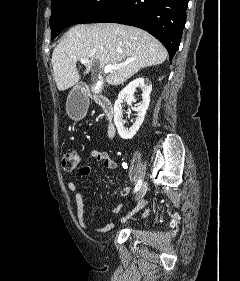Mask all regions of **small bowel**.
<instances>
[{
  "mask_svg": "<svg viewBox=\"0 0 240 281\" xmlns=\"http://www.w3.org/2000/svg\"><path fill=\"white\" fill-rule=\"evenodd\" d=\"M90 157L97 161V162H101L102 165L109 170H114L118 167V163L116 162V160H114L107 152L105 151H100L97 149H92L90 151ZM92 173V167L89 165H84L79 169V174L82 177H87ZM67 188L68 190L73 193L74 196V200H75V204H76V214H77V218L78 221L80 222V224L87 230L91 231V232H96V233H106L109 232L111 230L114 229L115 225L112 222H108L107 224H105L104 226L101 227H96L93 225H86L85 223V206H84V201H83V197L82 194L80 192V190L78 189V186L75 182L70 181L67 184ZM131 189L129 187H125L122 189L118 190V194L120 196H127L129 195ZM146 206V202L145 201H141L138 203L137 207L129 214H126L124 216L120 217V221L122 223L126 222L135 212L143 209ZM122 209V204H118L116 207H114L111 210L112 214H117L121 211ZM148 213V211H146L144 213V216H146Z\"/></svg>",
  "mask_w": 240,
  "mask_h": 281,
  "instance_id": "obj_1",
  "label": "small bowel"
}]
</instances>
